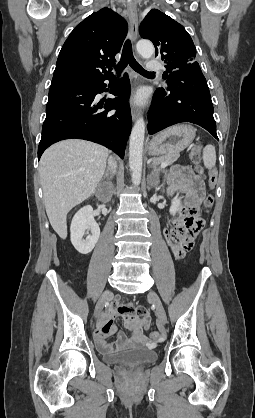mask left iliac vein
<instances>
[{"label":"left iliac vein","mask_w":255,"mask_h":418,"mask_svg":"<svg viewBox=\"0 0 255 418\" xmlns=\"http://www.w3.org/2000/svg\"><path fill=\"white\" fill-rule=\"evenodd\" d=\"M149 300L154 304L158 321L165 325L167 322V316L163 304L155 291H150L148 294Z\"/></svg>","instance_id":"obj_1"}]
</instances>
